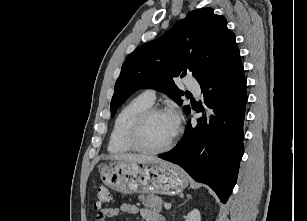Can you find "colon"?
<instances>
[{
	"label": "colon",
	"instance_id": "1",
	"mask_svg": "<svg viewBox=\"0 0 307 221\" xmlns=\"http://www.w3.org/2000/svg\"><path fill=\"white\" fill-rule=\"evenodd\" d=\"M112 200L110 189L107 186H100L97 191L95 208L101 209Z\"/></svg>",
	"mask_w": 307,
	"mask_h": 221
}]
</instances>
